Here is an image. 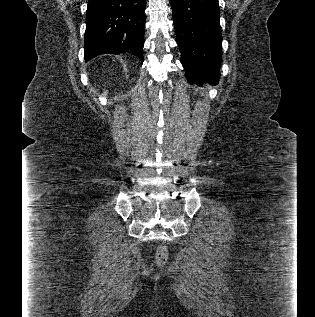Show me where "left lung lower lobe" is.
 <instances>
[{"label":"left lung lower lobe","mask_w":315,"mask_h":317,"mask_svg":"<svg viewBox=\"0 0 315 317\" xmlns=\"http://www.w3.org/2000/svg\"><path fill=\"white\" fill-rule=\"evenodd\" d=\"M181 63L191 84L219 81L222 35L218 0H170Z\"/></svg>","instance_id":"left-lung-lower-lobe-1"}]
</instances>
